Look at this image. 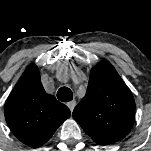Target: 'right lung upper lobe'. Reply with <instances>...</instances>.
I'll return each instance as SVG.
<instances>
[{
  "label": "right lung upper lobe",
  "mask_w": 151,
  "mask_h": 151,
  "mask_svg": "<svg viewBox=\"0 0 151 151\" xmlns=\"http://www.w3.org/2000/svg\"><path fill=\"white\" fill-rule=\"evenodd\" d=\"M4 114L11 131L21 142L40 147L70 116V110L45 92L39 69L31 64L6 100Z\"/></svg>",
  "instance_id": "obj_1"
}]
</instances>
